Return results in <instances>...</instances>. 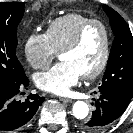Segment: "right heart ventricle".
I'll list each match as a JSON object with an SVG mask.
<instances>
[{
  "label": "right heart ventricle",
  "instance_id": "obj_1",
  "mask_svg": "<svg viewBox=\"0 0 133 133\" xmlns=\"http://www.w3.org/2000/svg\"><path fill=\"white\" fill-rule=\"evenodd\" d=\"M90 18L81 13H68L54 19L49 23L46 35L53 46L59 52L72 39L80 26Z\"/></svg>",
  "mask_w": 133,
  "mask_h": 133
}]
</instances>
